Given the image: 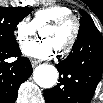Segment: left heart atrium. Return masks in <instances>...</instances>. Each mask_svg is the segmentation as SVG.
Instances as JSON below:
<instances>
[{
    "label": "left heart atrium",
    "mask_w": 103,
    "mask_h": 103,
    "mask_svg": "<svg viewBox=\"0 0 103 103\" xmlns=\"http://www.w3.org/2000/svg\"><path fill=\"white\" fill-rule=\"evenodd\" d=\"M25 55L36 59H47L55 55L58 51L54 43L49 38L29 41L22 47Z\"/></svg>",
    "instance_id": "1"
}]
</instances>
